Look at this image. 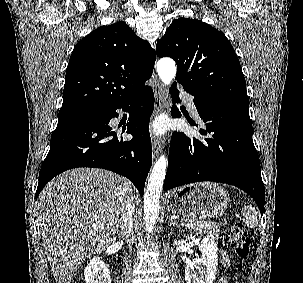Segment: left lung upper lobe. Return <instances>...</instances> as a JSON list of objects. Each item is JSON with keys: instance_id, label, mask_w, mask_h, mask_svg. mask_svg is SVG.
Returning <instances> with one entry per match:
<instances>
[{"instance_id": "1", "label": "left lung upper lobe", "mask_w": 303, "mask_h": 283, "mask_svg": "<svg viewBox=\"0 0 303 283\" xmlns=\"http://www.w3.org/2000/svg\"><path fill=\"white\" fill-rule=\"evenodd\" d=\"M158 57L177 64L175 83L194 96L249 105L240 62L226 36L200 20H173L158 40Z\"/></svg>"}]
</instances>
